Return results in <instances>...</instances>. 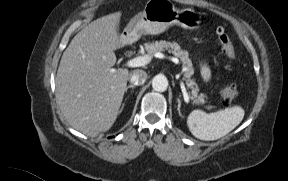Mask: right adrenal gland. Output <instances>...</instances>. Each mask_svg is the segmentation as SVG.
<instances>
[{"label":"right adrenal gland","instance_id":"2a0ac1e0","mask_svg":"<svg viewBox=\"0 0 288 181\" xmlns=\"http://www.w3.org/2000/svg\"><path fill=\"white\" fill-rule=\"evenodd\" d=\"M136 86L135 85H129V86H127L126 88H125V92H127V90L129 89V88H135Z\"/></svg>","mask_w":288,"mask_h":181}]
</instances>
